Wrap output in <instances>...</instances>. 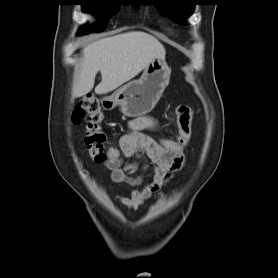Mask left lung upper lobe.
I'll return each mask as SVG.
<instances>
[{
	"mask_svg": "<svg viewBox=\"0 0 278 278\" xmlns=\"http://www.w3.org/2000/svg\"><path fill=\"white\" fill-rule=\"evenodd\" d=\"M154 5L159 7L166 17L173 18L178 23H183L194 10V4L190 0H156Z\"/></svg>",
	"mask_w": 278,
	"mask_h": 278,
	"instance_id": "left-lung-upper-lobe-1",
	"label": "left lung upper lobe"
}]
</instances>
